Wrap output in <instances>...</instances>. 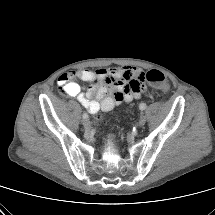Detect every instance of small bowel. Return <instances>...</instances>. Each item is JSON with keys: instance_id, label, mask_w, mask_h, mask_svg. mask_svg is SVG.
<instances>
[{"instance_id": "obj_1", "label": "small bowel", "mask_w": 215, "mask_h": 215, "mask_svg": "<svg viewBox=\"0 0 215 215\" xmlns=\"http://www.w3.org/2000/svg\"><path fill=\"white\" fill-rule=\"evenodd\" d=\"M143 76L142 70L133 66L83 69L62 74L58 84L68 96L77 98L83 107L95 114L139 99L145 90ZM77 80L88 82L89 87L84 90Z\"/></svg>"}]
</instances>
